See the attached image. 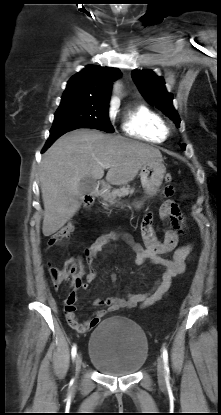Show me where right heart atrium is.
<instances>
[{"instance_id":"obj_1","label":"right heart atrium","mask_w":221,"mask_h":415,"mask_svg":"<svg viewBox=\"0 0 221 415\" xmlns=\"http://www.w3.org/2000/svg\"><path fill=\"white\" fill-rule=\"evenodd\" d=\"M114 116H115V108H114V106H113V105H111V106L109 107V110H108V118H109L110 120H112V119L114 118Z\"/></svg>"}]
</instances>
